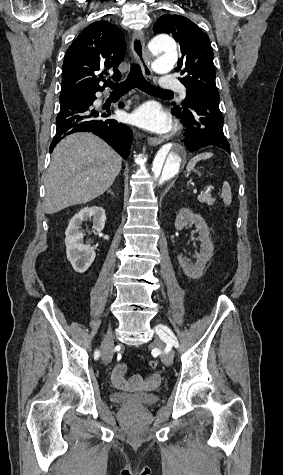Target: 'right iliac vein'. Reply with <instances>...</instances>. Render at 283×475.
<instances>
[{
  "label": "right iliac vein",
  "instance_id": "1",
  "mask_svg": "<svg viewBox=\"0 0 283 475\" xmlns=\"http://www.w3.org/2000/svg\"><path fill=\"white\" fill-rule=\"evenodd\" d=\"M113 334L107 332L105 339L102 342V360L104 364H108L112 360Z\"/></svg>",
  "mask_w": 283,
  "mask_h": 475
}]
</instances>
